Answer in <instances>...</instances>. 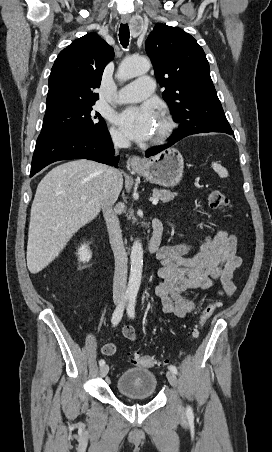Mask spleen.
Listing matches in <instances>:
<instances>
[{
  "mask_svg": "<svg viewBox=\"0 0 272 452\" xmlns=\"http://www.w3.org/2000/svg\"><path fill=\"white\" fill-rule=\"evenodd\" d=\"M212 167L221 178H225L228 176V171L224 167H222L220 164L213 162Z\"/></svg>",
  "mask_w": 272,
  "mask_h": 452,
  "instance_id": "spleen-1",
  "label": "spleen"
}]
</instances>
